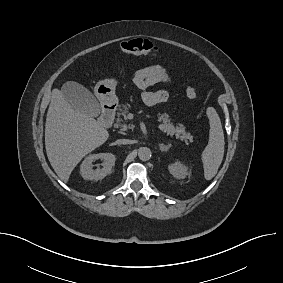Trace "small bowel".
Instances as JSON below:
<instances>
[{"mask_svg":"<svg viewBox=\"0 0 283 283\" xmlns=\"http://www.w3.org/2000/svg\"><path fill=\"white\" fill-rule=\"evenodd\" d=\"M172 74L170 70L162 65H152L135 71L132 75L134 85L143 90L142 100L149 106L165 103L168 100L166 91H150L149 87L161 83L170 82Z\"/></svg>","mask_w":283,"mask_h":283,"instance_id":"small-bowel-1","label":"small bowel"}]
</instances>
